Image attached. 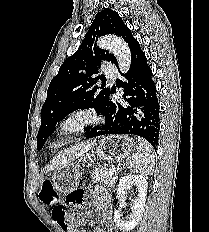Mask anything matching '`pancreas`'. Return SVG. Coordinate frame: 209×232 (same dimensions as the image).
I'll return each instance as SVG.
<instances>
[{
	"mask_svg": "<svg viewBox=\"0 0 209 232\" xmlns=\"http://www.w3.org/2000/svg\"><path fill=\"white\" fill-rule=\"evenodd\" d=\"M118 170L115 167H102L96 169L92 175L91 179L94 183L101 181L110 190L115 186V181L117 179Z\"/></svg>",
	"mask_w": 209,
	"mask_h": 232,
	"instance_id": "cf45deb5",
	"label": "pancreas"
}]
</instances>
